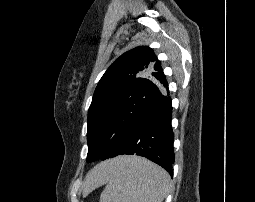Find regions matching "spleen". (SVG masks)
I'll list each match as a JSON object with an SVG mask.
<instances>
[{"label":"spleen","mask_w":255,"mask_h":202,"mask_svg":"<svg viewBox=\"0 0 255 202\" xmlns=\"http://www.w3.org/2000/svg\"><path fill=\"white\" fill-rule=\"evenodd\" d=\"M100 175L98 185L106 184L100 202H162L170 191L168 173L141 157L123 156Z\"/></svg>","instance_id":"1"}]
</instances>
